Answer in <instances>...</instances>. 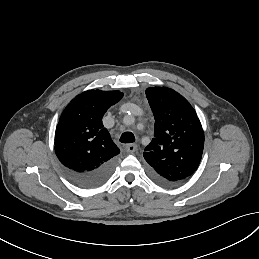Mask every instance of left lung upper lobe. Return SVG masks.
<instances>
[{
  "label": "left lung upper lobe",
  "mask_w": 259,
  "mask_h": 259,
  "mask_svg": "<svg viewBox=\"0 0 259 259\" xmlns=\"http://www.w3.org/2000/svg\"><path fill=\"white\" fill-rule=\"evenodd\" d=\"M146 96L155 118L154 138L143 153L150 173L166 182H182L202 158L201 123L190 103L173 89L148 88Z\"/></svg>",
  "instance_id": "left-lung-upper-lobe-1"
}]
</instances>
